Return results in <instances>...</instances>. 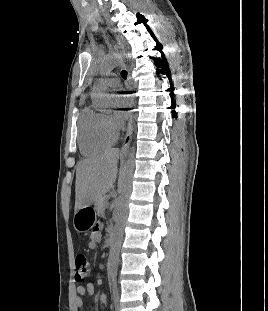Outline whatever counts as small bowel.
Wrapping results in <instances>:
<instances>
[{"label":"small bowel","instance_id":"c3829d8e","mask_svg":"<svg viewBox=\"0 0 268 311\" xmlns=\"http://www.w3.org/2000/svg\"><path fill=\"white\" fill-rule=\"evenodd\" d=\"M101 233L98 229H94L91 233L90 240L87 243V248L90 250H93L97 247L98 243L101 241ZM95 288L92 283H84L79 284L76 287V293H75V305L78 309H82L84 306V298L90 297L94 294ZM106 305V295L104 293H100L99 295V309H103Z\"/></svg>","mask_w":268,"mask_h":311}]
</instances>
